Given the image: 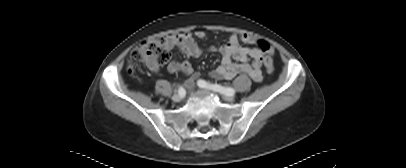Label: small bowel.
I'll list each match as a JSON object with an SVG mask.
<instances>
[{"instance_id":"obj_1","label":"small bowel","mask_w":406,"mask_h":168,"mask_svg":"<svg viewBox=\"0 0 406 168\" xmlns=\"http://www.w3.org/2000/svg\"><path fill=\"white\" fill-rule=\"evenodd\" d=\"M205 32L197 31L195 35L189 33L173 34L165 38L168 49L179 48L188 57H199L202 49L197 44V39H204ZM248 45L257 43L258 38L250 34H243L240 38L231 35L226 43L219 47H211L212 51H218L221 54V64L211 71L210 75L216 79L230 80L238 74H246L255 82H261L263 79L262 64L263 55L257 48L241 46L239 41ZM153 72L158 71V66H150ZM168 70L172 73L181 72L189 75L185 81L187 88L194 86L197 74L193 72L190 62H171Z\"/></svg>"}]
</instances>
